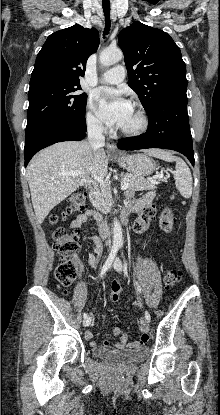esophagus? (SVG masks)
I'll list each match as a JSON object with an SVG mask.
<instances>
[{
	"mask_svg": "<svg viewBox=\"0 0 220 415\" xmlns=\"http://www.w3.org/2000/svg\"><path fill=\"white\" fill-rule=\"evenodd\" d=\"M107 149H108V152L110 154H119L120 153L117 146H116V144L113 141H111L110 139L107 140Z\"/></svg>",
	"mask_w": 220,
	"mask_h": 415,
	"instance_id": "obj_1",
	"label": "esophagus"
}]
</instances>
